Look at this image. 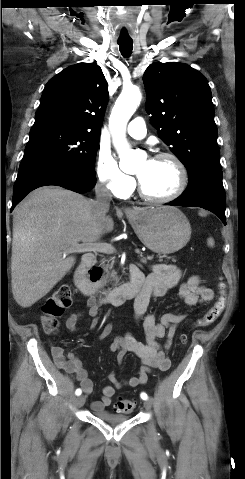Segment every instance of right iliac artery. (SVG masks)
I'll list each match as a JSON object with an SVG mask.
<instances>
[{
  "mask_svg": "<svg viewBox=\"0 0 245 479\" xmlns=\"http://www.w3.org/2000/svg\"><path fill=\"white\" fill-rule=\"evenodd\" d=\"M81 393H82V391H81L80 388L75 391V394H76L77 396L81 395Z\"/></svg>",
  "mask_w": 245,
  "mask_h": 479,
  "instance_id": "right-iliac-artery-1",
  "label": "right iliac artery"
}]
</instances>
